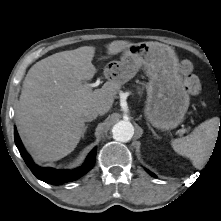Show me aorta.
<instances>
[{"label":"aorta","instance_id":"1","mask_svg":"<svg viewBox=\"0 0 221 221\" xmlns=\"http://www.w3.org/2000/svg\"><path fill=\"white\" fill-rule=\"evenodd\" d=\"M113 138L120 142H128L134 135V127L128 121H119L112 128Z\"/></svg>","mask_w":221,"mask_h":221}]
</instances>
